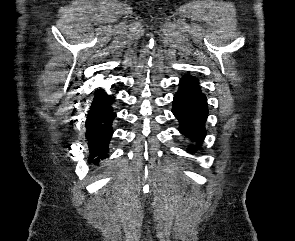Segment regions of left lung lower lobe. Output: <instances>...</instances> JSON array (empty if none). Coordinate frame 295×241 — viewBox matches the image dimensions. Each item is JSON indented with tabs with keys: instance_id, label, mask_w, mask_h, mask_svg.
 Listing matches in <instances>:
<instances>
[{
	"instance_id": "0a47b994",
	"label": "left lung lower lobe",
	"mask_w": 295,
	"mask_h": 241,
	"mask_svg": "<svg viewBox=\"0 0 295 241\" xmlns=\"http://www.w3.org/2000/svg\"><path fill=\"white\" fill-rule=\"evenodd\" d=\"M172 112L180 123V132L196 142L187 151L193 153L203 142L208 116L207 99L202 93L196 79L184 76L179 83V90L173 99Z\"/></svg>"
}]
</instances>
